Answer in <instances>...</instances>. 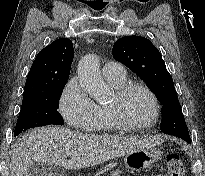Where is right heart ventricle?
Segmentation results:
<instances>
[{
    "label": "right heart ventricle",
    "instance_id": "right-heart-ventricle-1",
    "mask_svg": "<svg viewBox=\"0 0 205 176\" xmlns=\"http://www.w3.org/2000/svg\"><path fill=\"white\" fill-rule=\"evenodd\" d=\"M106 80L115 90L126 84V77L123 79L106 78ZM92 128L95 133L101 135H107L117 131L116 123L109 110V104L100 103L97 105V117Z\"/></svg>",
    "mask_w": 205,
    "mask_h": 176
}]
</instances>
